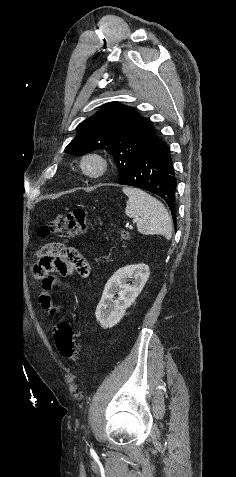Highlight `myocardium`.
I'll use <instances>...</instances> for the list:
<instances>
[{
    "instance_id": "myocardium-1",
    "label": "myocardium",
    "mask_w": 236,
    "mask_h": 477,
    "mask_svg": "<svg viewBox=\"0 0 236 477\" xmlns=\"http://www.w3.org/2000/svg\"><path fill=\"white\" fill-rule=\"evenodd\" d=\"M90 162L95 163L96 168L94 170L88 168ZM79 167L82 174L86 177L98 178L104 175L108 170V162L103 156L97 153H87L81 157Z\"/></svg>"
}]
</instances>
